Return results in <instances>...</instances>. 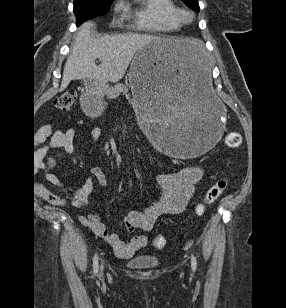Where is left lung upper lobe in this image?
Instances as JSON below:
<instances>
[{
	"label": "left lung upper lobe",
	"mask_w": 286,
	"mask_h": 308,
	"mask_svg": "<svg viewBox=\"0 0 286 308\" xmlns=\"http://www.w3.org/2000/svg\"><path fill=\"white\" fill-rule=\"evenodd\" d=\"M182 1L192 10L199 12L200 8L197 0H182Z\"/></svg>",
	"instance_id": "1"
}]
</instances>
